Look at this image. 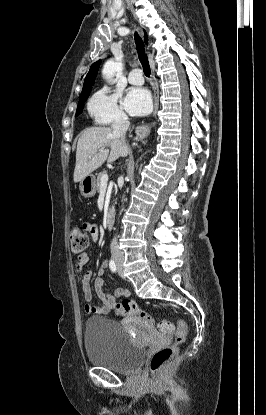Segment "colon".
<instances>
[{"mask_svg":"<svg viewBox=\"0 0 266 415\" xmlns=\"http://www.w3.org/2000/svg\"><path fill=\"white\" fill-rule=\"evenodd\" d=\"M70 248L73 254L80 255L88 247L89 237L85 228L75 227L69 235ZM116 313L120 316H137L150 325H155L162 334L173 335V344L158 349L151 357L150 371L158 375L162 373L177 354L179 346L188 336L187 325L183 320L176 324L167 319L155 321L147 311L141 309L138 304L130 299H124L116 304Z\"/></svg>","mask_w":266,"mask_h":415,"instance_id":"obj_1","label":"colon"}]
</instances>
